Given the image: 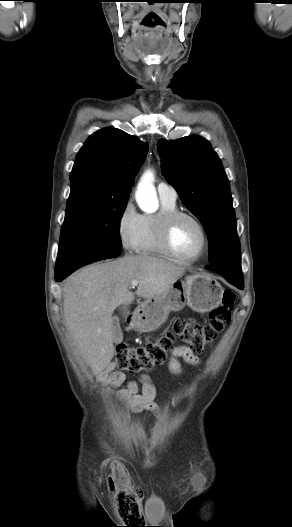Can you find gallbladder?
Instances as JSON below:
<instances>
[{"instance_id": "obj_1", "label": "gallbladder", "mask_w": 292, "mask_h": 527, "mask_svg": "<svg viewBox=\"0 0 292 527\" xmlns=\"http://www.w3.org/2000/svg\"><path fill=\"white\" fill-rule=\"evenodd\" d=\"M112 334L114 343L118 344L123 341V334L120 328L118 317L112 318Z\"/></svg>"}]
</instances>
